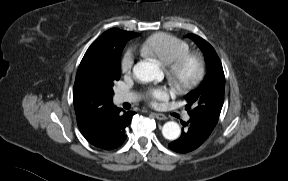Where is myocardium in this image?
Instances as JSON below:
<instances>
[{
	"mask_svg": "<svg viewBox=\"0 0 288 181\" xmlns=\"http://www.w3.org/2000/svg\"><path fill=\"white\" fill-rule=\"evenodd\" d=\"M194 64V73L190 78H183L182 69L188 64ZM166 74L179 91H188L197 86L205 74V61L196 52H186L166 65Z\"/></svg>",
	"mask_w": 288,
	"mask_h": 181,
	"instance_id": "f54148a6",
	"label": "myocardium"
}]
</instances>
